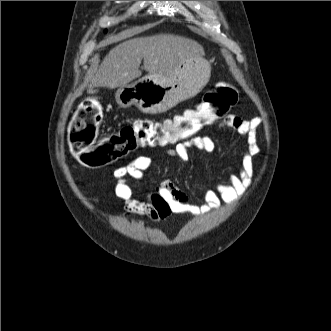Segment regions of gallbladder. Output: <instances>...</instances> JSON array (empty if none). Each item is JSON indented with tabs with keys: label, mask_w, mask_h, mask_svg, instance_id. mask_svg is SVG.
Instances as JSON below:
<instances>
[{
	"label": "gallbladder",
	"mask_w": 331,
	"mask_h": 331,
	"mask_svg": "<svg viewBox=\"0 0 331 331\" xmlns=\"http://www.w3.org/2000/svg\"><path fill=\"white\" fill-rule=\"evenodd\" d=\"M96 92H97L96 90H92V92H91V93H92V94H94V93H96Z\"/></svg>",
	"instance_id": "1"
}]
</instances>
